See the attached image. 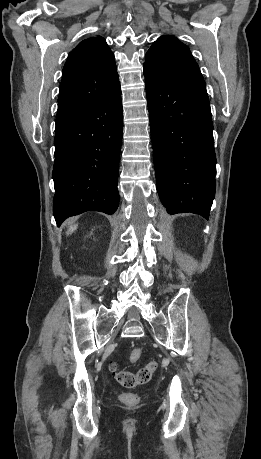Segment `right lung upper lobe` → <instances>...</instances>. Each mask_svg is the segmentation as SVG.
I'll list each match as a JSON object with an SVG mask.
<instances>
[{"instance_id": "cb5924a9", "label": "right lung upper lobe", "mask_w": 261, "mask_h": 459, "mask_svg": "<svg viewBox=\"0 0 261 459\" xmlns=\"http://www.w3.org/2000/svg\"><path fill=\"white\" fill-rule=\"evenodd\" d=\"M119 85L115 58L105 39L83 40L64 65L56 121L90 107Z\"/></svg>"}]
</instances>
